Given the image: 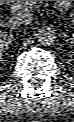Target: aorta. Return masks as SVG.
Returning <instances> with one entry per match:
<instances>
[{"label": "aorta", "mask_w": 74, "mask_h": 122, "mask_svg": "<svg viewBox=\"0 0 74 122\" xmlns=\"http://www.w3.org/2000/svg\"><path fill=\"white\" fill-rule=\"evenodd\" d=\"M56 32L49 26H44L38 29L37 40L42 46H50L56 40Z\"/></svg>", "instance_id": "obj_1"}]
</instances>
